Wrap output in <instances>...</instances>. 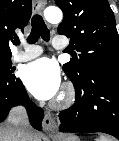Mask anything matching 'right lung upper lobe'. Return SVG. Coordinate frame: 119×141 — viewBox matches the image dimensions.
Returning a JSON list of instances; mask_svg holds the SVG:
<instances>
[{
	"instance_id": "right-lung-upper-lobe-1",
	"label": "right lung upper lobe",
	"mask_w": 119,
	"mask_h": 141,
	"mask_svg": "<svg viewBox=\"0 0 119 141\" xmlns=\"http://www.w3.org/2000/svg\"><path fill=\"white\" fill-rule=\"evenodd\" d=\"M32 13L31 0H0V57H11L9 43L18 38Z\"/></svg>"
}]
</instances>
